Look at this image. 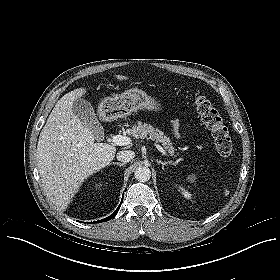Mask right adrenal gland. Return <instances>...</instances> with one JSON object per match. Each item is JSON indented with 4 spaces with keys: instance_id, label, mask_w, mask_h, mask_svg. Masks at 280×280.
<instances>
[{
    "instance_id": "2a0ac1e0",
    "label": "right adrenal gland",
    "mask_w": 280,
    "mask_h": 280,
    "mask_svg": "<svg viewBox=\"0 0 280 280\" xmlns=\"http://www.w3.org/2000/svg\"><path fill=\"white\" fill-rule=\"evenodd\" d=\"M113 164H114V165H118V166H120V167L124 165V163H120V162H113Z\"/></svg>"
}]
</instances>
